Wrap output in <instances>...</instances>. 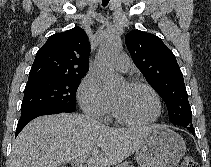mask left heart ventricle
Wrapping results in <instances>:
<instances>
[{"label":"left heart ventricle","mask_w":211,"mask_h":167,"mask_svg":"<svg viewBox=\"0 0 211 167\" xmlns=\"http://www.w3.org/2000/svg\"><path fill=\"white\" fill-rule=\"evenodd\" d=\"M111 97L117 111L130 120L147 121L156 114L155 98L145 88H133L123 84Z\"/></svg>","instance_id":"obj_1"}]
</instances>
